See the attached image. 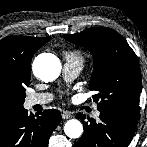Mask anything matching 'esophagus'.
Segmentation results:
<instances>
[{
  "mask_svg": "<svg viewBox=\"0 0 147 147\" xmlns=\"http://www.w3.org/2000/svg\"><path fill=\"white\" fill-rule=\"evenodd\" d=\"M62 118L63 119H70V118H72V115H71L70 112L65 111V112L62 113Z\"/></svg>",
  "mask_w": 147,
  "mask_h": 147,
  "instance_id": "obj_1",
  "label": "esophagus"
}]
</instances>
